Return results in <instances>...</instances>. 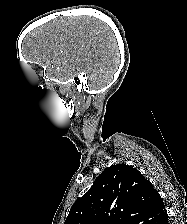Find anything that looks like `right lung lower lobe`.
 I'll list each match as a JSON object with an SVG mask.
<instances>
[{"label": "right lung lower lobe", "instance_id": "right-lung-lower-lobe-1", "mask_svg": "<svg viewBox=\"0 0 187 224\" xmlns=\"http://www.w3.org/2000/svg\"><path fill=\"white\" fill-rule=\"evenodd\" d=\"M153 224H168V215L165 213L160 219H158Z\"/></svg>", "mask_w": 187, "mask_h": 224}]
</instances>
